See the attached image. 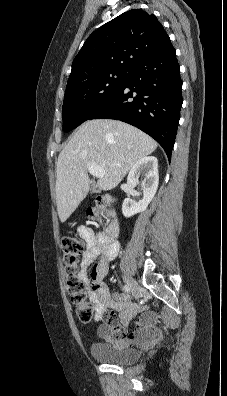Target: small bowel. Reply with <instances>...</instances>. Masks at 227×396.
Here are the masks:
<instances>
[{"mask_svg":"<svg viewBox=\"0 0 227 396\" xmlns=\"http://www.w3.org/2000/svg\"><path fill=\"white\" fill-rule=\"evenodd\" d=\"M79 235L85 241L86 250L82 256L78 277L87 286L89 299L96 308V320L102 317L104 319V323L98 328V336L115 344L132 341L148 346L156 343L162 337L161 330L155 326L156 314L133 304L126 294L111 293L103 281L108 273L109 263L118 255V242L109 241L86 226L79 228ZM92 264L94 266L89 274L88 269ZM115 312L119 315L118 319ZM141 312L138 328L128 333L127 327Z\"/></svg>","mask_w":227,"mask_h":396,"instance_id":"c3829d8e","label":"small bowel"}]
</instances>
